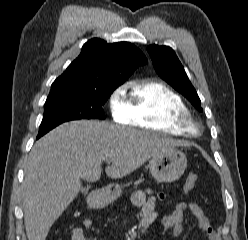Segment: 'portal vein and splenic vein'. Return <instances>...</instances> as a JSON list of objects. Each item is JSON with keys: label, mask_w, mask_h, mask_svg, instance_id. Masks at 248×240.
Masks as SVG:
<instances>
[{"label": "portal vein and splenic vein", "mask_w": 248, "mask_h": 240, "mask_svg": "<svg viewBox=\"0 0 248 240\" xmlns=\"http://www.w3.org/2000/svg\"><path fill=\"white\" fill-rule=\"evenodd\" d=\"M104 161H106L107 163H111L110 159H105Z\"/></svg>", "instance_id": "obj_1"}]
</instances>
